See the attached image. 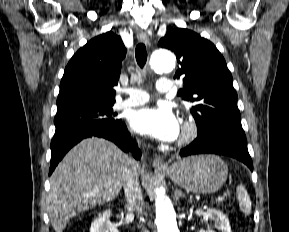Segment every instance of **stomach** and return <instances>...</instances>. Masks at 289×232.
<instances>
[{
	"label": "stomach",
	"mask_w": 289,
	"mask_h": 232,
	"mask_svg": "<svg viewBox=\"0 0 289 232\" xmlns=\"http://www.w3.org/2000/svg\"><path fill=\"white\" fill-rule=\"evenodd\" d=\"M164 172L187 191L210 194L218 191L225 183L228 167L218 156L202 155L181 159Z\"/></svg>",
	"instance_id": "0dacf381"
}]
</instances>
